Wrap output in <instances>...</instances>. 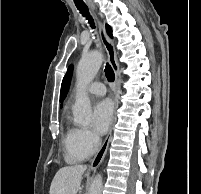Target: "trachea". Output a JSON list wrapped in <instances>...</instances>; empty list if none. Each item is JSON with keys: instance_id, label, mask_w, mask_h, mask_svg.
<instances>
[{"instance_id": "3493384b", "label": "trachea", "mask_w": 201, "mask_h": 194, "mask_svg": "<svg viewBox=\"0 0 201 194\" xmlns=\"http://www.w3.org/2000/svg\"><path fill=\"white\" fill-rule=\"evenodd\" d=\"M75 5H76L77 9L80 11V13L84 17H86V19L89 21L90 26L94 29L95 24H94L92 16L90 15V13L88 11V7L86 6V4H84L83 2H80V3L75 2ZM105 75H106V78L109 82H113L115 80L114 71L108 63L105 66Z\"/></svg>"}]
</instances>
